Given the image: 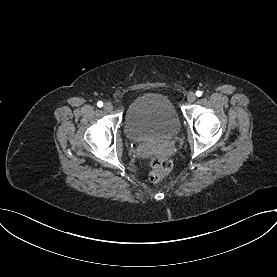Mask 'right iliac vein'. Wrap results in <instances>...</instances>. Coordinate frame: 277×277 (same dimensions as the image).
Wrapping results in <instances>:
<instances>
[{
  "mask_svg": "<svg viewBox=\"0 0 277 277\" xmlns=\"http://www.w3.org/2000/svg\"><path fill=\"white\" fill-rule=\"evenodd\" d=\"M104 110L105 111H108V112H110V111H112V109H113V105L110 103V102H106L105 104H104Z\"/></svg>",
  "mask_w": 277,
  "mask_h": 277,
  "instance_id": "1",
  "label": "right iliac vein"
}]
</instances>
